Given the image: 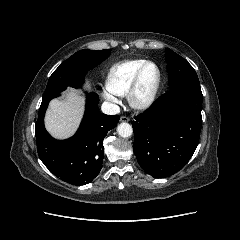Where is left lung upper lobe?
Segmentation results:
<instances>
[{
  "mask_svg": "<svg viewBox=\"0 0 240 240\" xmlns=\"http://www.w3.org/2000/svg\"><path fill=\"white\" fill-rule=\"evenodd\" d=\"M165 59L170 89L182 85L200 86L194 68L183 57L166 48Z\"/></svg>",
  "mask_w": 240,
  "mask_h": 240,
  "instance_id": "1",
  "label": "left lung upper lobe"
}]
</instances>
